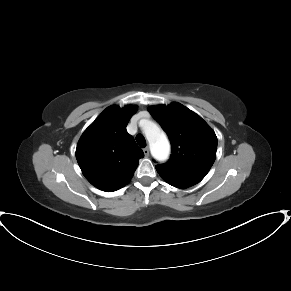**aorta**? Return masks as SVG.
Wrapping results in <instances>:
<instances>
[{
  "instance_id": "obj_1",
  "label": "aorta",
  "mask_w": 291,
  "mask_h": 291,
  "mask_svg": "<svg viewBox=\"0 0 291 291\" xmlns=\"http://www.w3.org/2000/svg\"><path fill=\"white\" fill-rule=\"evenodd\" d=\"M142 130L150 143L153 156L158 160L167 159L170 153V143L164 131L150 120H144Z\"/></svg>"
}]
</instances>
